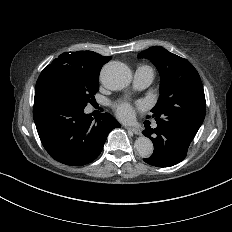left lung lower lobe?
Here are the masks:
<instances>
[{
  "instance_id": "1",
  "label": "left lung lower lobe",
  "mask_w": 232,
  "mask_h": 232,
  "mask_svg": "<svg viewBox=\"0 0 232 232\" xmlns=\"http://www.w3.org/2000/svg\"><path fill=\"white\" fill-rule=\"evenodd\" d=\"M143 134L154 145L152 156L144 161L156 167H170L181 162L192 142L183 134L163 125H157L155 129L146 128Z\"/></svg>"
}]
</instances>
